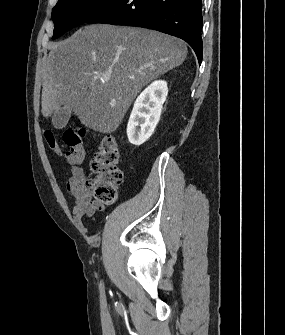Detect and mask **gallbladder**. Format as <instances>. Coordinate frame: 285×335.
<instances>
[{
	"label": "gallbladder",
	"mask_w": 285,
	"mask_h": 335,
	"mask_svg": "<svg viewBox=\"0 0 285 335\" xmlns=\"http://www.w3.org/2000/svg\"><path fill=\"white\" fill-rule=\"evenodd\" d=\"M69 118H71V110H69L68 106H63V108L54 112L52 124L57 130H62V128H65L66 124H68Z\"/></svg>",
	"instance_id": "bac80fb5"
}]
</instances>
